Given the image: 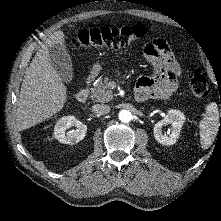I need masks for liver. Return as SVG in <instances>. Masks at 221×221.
<instances>
[{"label":"liver","mask_w":221,"mask_h":221,"mask_svg":"<svg viewBox=\"0 0 221 221\" xmlns=\"http://www.w3.org/2000/svg\"><path fill=\"white\" fill-rule=\"evenodd\" d=\"M64 43V33L60 30L54 32L41 46L27 68L16 112V125L19 131L50 118L63 108L67 100V89L51 64L48 50L56 44Z\"/></svg>","instance_id":"6515ba94"}]
</instances>
